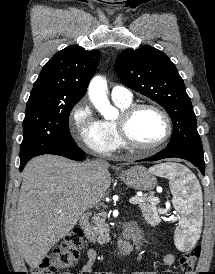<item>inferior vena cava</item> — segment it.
<instances>
[{"mask_svg":"<svg viewBox=\"0 0 215 274\" xmlns=\"http://www.w3.org/2000/svg\"><path fill=\"white\" fill-rule=\"evenodd\" d=\"M90 164H91L92 167L99 168V167L106 166L107 162L105 160H102V159H95V160H92Z\"/></svg>","mask_w":215,"mask_h":274,"instance_id":"inferior-vena-cava-1","label":"inferior vena cava"}]
</instances>
